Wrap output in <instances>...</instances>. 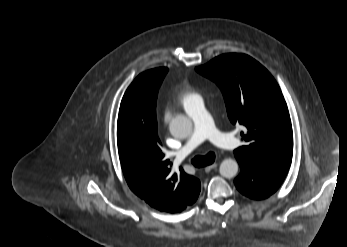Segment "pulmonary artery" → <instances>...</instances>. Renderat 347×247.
<instances>
[{
	"label": "pulmonary artery",
	"instance_id": "pulmonary-artery-1",
	"mask_svg": "<svg viewBox=\"0 0 347 247\" xmlns=\"http://www.w3.org/2000/svg\"><path fill=\"white\" fill-rule=\"evenodd\" d=\"M185 110L193 120L194 130L190 138L177 152L178 159L185 158L205 140H209L213 144L225 149H233L238 146V140L236 138L220 132L215 127L211 116L205 108L204 101L200 96L187 104Z\"/></svg>",
	"mask_w": 347,
	"mask_h": 247
}]
</instances>
